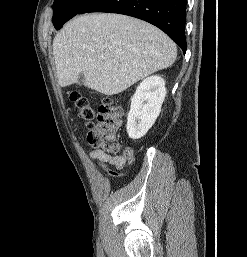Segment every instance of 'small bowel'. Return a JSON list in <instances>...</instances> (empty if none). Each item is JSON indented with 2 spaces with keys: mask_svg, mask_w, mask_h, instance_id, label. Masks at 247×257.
<instances>
[{
  "mask_svg": "<svg viewBox=\"0 0 247 257\" xmlns=\"http://www.w3.org/2000/svg\"><path fill=\"white\" fill-rule=\"evenodd\" d=\"M131 155L125 156V155H118V156H112L109 153L101 150V149H94L89 152L90 158L93 160H96L100 168L106 172L107 174H116L111 170V167H113L117 172H120L123 170L125 165L132 159L133 152L130 148Z\"/></svg>",
  "mask_w": 247,
  "mask_h": 257,
  "instance_id": "small-bowel-1",
  "label": "small bowel"
}]
</instances>
